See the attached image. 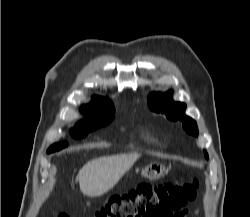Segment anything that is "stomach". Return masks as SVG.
<instances>
[{"mask_svg": "<svg viewBox=\"0 0 250 217\" xmlns=\"http://www.w3.org/2000/svg\"><path fill=\"white\" fill-rule=\"evenodd\" d=\"M165 173V167L161 164H150L141 171V176L150 180H157Z\"/></svg>", "mask_w": 250, "mask_h": 217, "instance_id": "stomach-1", "label": "stomach"}]
</instances>
